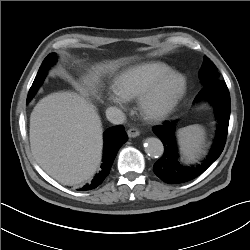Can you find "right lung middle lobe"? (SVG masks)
I'll use <instances>...</instances> for the list:
<instances>
[{
    "instance_id": "1",
    "label": "right lung middle lobe",
    "mask_w": 250,
    "mask_h": 250,
    "mask_svg": "<svg viewBox=\"0 0 250 250\" xmlns=\"http://www.w3.org/2000/svg\"><path fill=\"white\" fill-rule=\"evenodd\" d=\"M54 59H55V53H51L49 54L45 60L43 61L37 76L35 77V80L29 90L28 96H27V102H29L32 97L34 96V94L37 92L38 88L40 87V85L42 84L46 74H47V70L50 67V65H52L54 63Z\"/></svg>"
}]
</instances>
